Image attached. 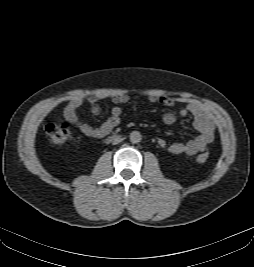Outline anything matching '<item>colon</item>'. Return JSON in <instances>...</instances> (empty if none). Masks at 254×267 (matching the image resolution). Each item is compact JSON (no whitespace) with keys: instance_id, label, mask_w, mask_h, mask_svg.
I'll list each match as a JSON object with an SVG mask.
<instances>
[{"instance_id":"5ec220e1","label":"colon","mask_w":254,"mask_h":267,"mask_svg":"<svg viewBox=\"0 0 254 267\" xmlns=\"http://www.w3.org/2000/svg\"><path fill=\"white\" fill-rule=\"evenodd\" d=\"M46 134L49 140L57 146L65 145L73 136L71 128L67 124H48ZM209 158L207 152L199 154L196 158L198 163H205Z\"/></svg>"}]
</instances>
